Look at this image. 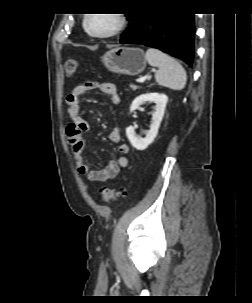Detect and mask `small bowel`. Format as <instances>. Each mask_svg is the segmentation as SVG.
Returning <instances> with one entry per match:
<instances>
[{"mask_svg":"<svg viewBox=\"0 0 252 303\" xmlns=\"http://www.w3.org/2000/svg\"><path fill=\"white\" fill-rule=\"evenodd\" d=\"M93 90L107 95L114 105H118L121 102L115 85L111 83L94 84L85 82L73 88L67 97L68 114L71 119V124L67 129V139L72 147L78 174L87 176L89 180L94 182H105L114 178L121 168L128 165L127 154L129 146L122 141L120 128L115 126L109 132V140L118 145L117 152L119 156L109 160L102 169L92 168L83 158L82 154L86 144L85 136L90 130V124L81 116V97Z\"/></svg>","mask_w":252,"mask_h":303,"instance_id":"c3829d8e","label":"small bowel"}]
</instances>
